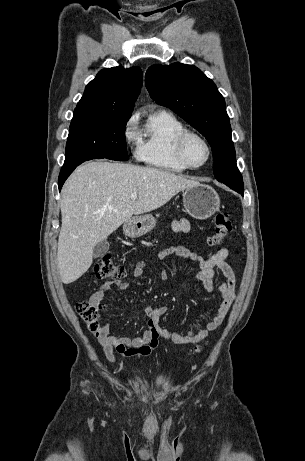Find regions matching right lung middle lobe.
<instances>
[{
	"instance_id": "dd1d6c3e",
	"label": "right lung middle lobe",
	"mask_w": 305,
	"mask_h": 461,
	"mask_svg": "<svg viewBox=\"0 0 305 461\" xmlns=\"http://www.w3.org/2000/svg\"><path fill=\"white\" fill-rule=\"evenodd\" d=\"M130 117L74 112L63 167L86 160H128L125 127Z\"/></svg>"
}]
</instances>
